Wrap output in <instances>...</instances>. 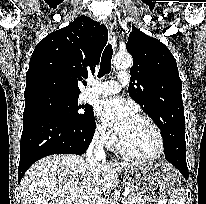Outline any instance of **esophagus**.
Masks as SVG:
<instances>
[{"instance_id": "1", "label": "esophagus", "mask_w": 206, "mask_h": 204, "mask_svg": "<svg viewBox=\"0 0 206 204\" xmlns=\"http://www.w3.org/2000/svg\"><path fill=\"white\" fill-rule=\"evenodd\" d=\"M104 24L107 27V29L109 30L110 39H111L113 49L116 50L117 49V36H116L115 30H114V26L110 20H105Z\"/></svg>"}]
</instances>
